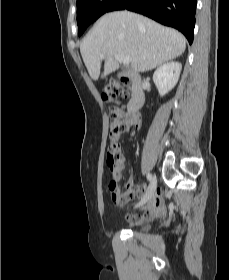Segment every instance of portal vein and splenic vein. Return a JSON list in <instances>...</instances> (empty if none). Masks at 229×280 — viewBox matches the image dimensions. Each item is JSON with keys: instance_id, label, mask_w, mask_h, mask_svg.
I'll return each mask as SVG.
<instances>
[{"instance_id": "1", "label": "portal vein and splenic vein", "mask_w": 229, "mask_h": 280, "mask_svg": "<svg viewBox=\"0 0 229 280\" xmlns=\"http://www.w3.org/2000/svg\"><path fill=\"white\" fill-rule=\"evenodd\" d=\"M101 57L103 58L104 54H102ZM114 58L125 66L129 65L131 62V57H129V56L114 54Z\"/></svg>"}]
</instances>
